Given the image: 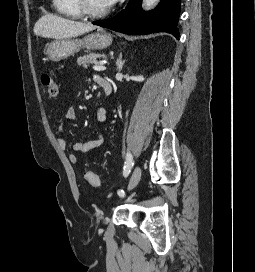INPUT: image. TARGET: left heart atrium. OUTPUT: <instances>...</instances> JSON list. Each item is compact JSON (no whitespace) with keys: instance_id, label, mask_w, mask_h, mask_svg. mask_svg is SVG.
<instances>
[{"instance_id":"1","label":"left heart atrium","mask_w":255,"mask_h":272,"mask_svg":"<svg viewBox=\"0 0 255 272\" xmlns=\"http://www.w3.org/2000/svg\"><path fill=\"white\" fill-rule=\"evenodd\" d=\"M118 1L119 0H106V2H107V4H108L109 7L112 6V5H114Z\"/></svg>"}]
</instances>
